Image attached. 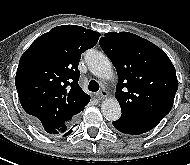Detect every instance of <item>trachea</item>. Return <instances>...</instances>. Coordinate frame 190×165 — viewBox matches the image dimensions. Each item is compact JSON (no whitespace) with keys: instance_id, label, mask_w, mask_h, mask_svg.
Wrapping results in <instances>:
<instances>
[{"instance_id":"trachea-1","label":"trachea","mask_w":190,"mask_h":165,"mask_svg":"<svg viewBox=\"0 0 190 165\" xmlns=\"http://www.w3.org/2000/svg\"><path fill=\"white\" fill-rule=\"evenodd\" d=\"M89 91L97 92L99 90V84L95 80H91L88 86Z\"/></svg>"}]
</instances>
